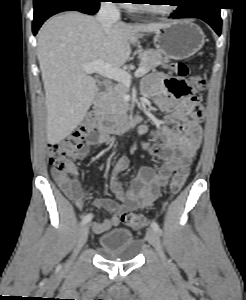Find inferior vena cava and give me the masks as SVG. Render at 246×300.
I'll list each match as a JSON object with an SVG mask.
<instances>
[{
	"mask_svg": "<svg viewBox=\"0 0 246 300\" xmlns=\"http://www.w3.org/2000/svg\"><path fill=\"white\" fill-rule=\"evenodd\" d=\"M104 31L108 33L112 25L120 20V11L112 2H103L96 17Z\"/></svg>",
	"mask_w": 246,
	"mask_h": 300,
	"instance_id": "602c4592",
	"label": "inferior vena cava"
}]
</instances>
